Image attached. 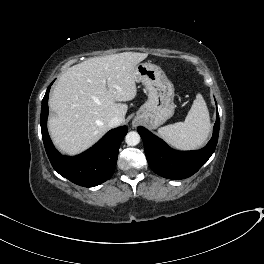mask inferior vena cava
I'll list each match as a JSON object with an SVG mask.
<instances>
[{"instance_id": "inferior-vena-cava-1", "label": "inferior vena cava", "mask_w": 264, "mask_h": 264, "mask_svg": "<svg viewBox=\"0 0 264 264\" xmlns=\"http://www.w3.org/2000/svg\"><path fill=\"white\" fill-rule=\"evenodd\" d=\"M123 122V120L120 117H113L109 123L108 126L110 128H114V127H118L119 125H121Z\"/></svg>"}]
</instances>
